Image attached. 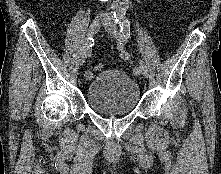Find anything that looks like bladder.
I'll return each instance as SVG.
<instances>
[{
  "label": "bladder",
  "instance_id": "1",
  "mask_svg": "<svg viewBox=\"0 0 221 174\" xmlns=\"http://www.w3.org/2000/svg\"><path fill=\"white\" fill-rule=\"evenodd\" d=\"M86 100L89 107L97 113L128 114L138 106L140 88L123 70H103L89 82Z\"/></svg>",
  "mask_w": 221,
  "mask_h": 174
}]
</instances>
